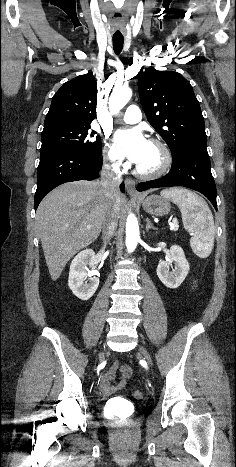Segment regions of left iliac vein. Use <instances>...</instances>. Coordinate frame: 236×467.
Listing matches in <instances>:
<instances>
[{"label":"left iliac vein","instance_id":"obj_1","mask_svg":"<svg viewBox=\"0 0 236 467\" xmlns=\"http://www.w3.org/2000/svg\"><path fill=\"white\" fill-rule=\"evenodd\" d=\"M140 353L145 357V359L147 360L148 364L151 366L152 362H151V358L148 354V352L146 351L145 348L141 347L140 348Z\"/></svg>","mask_w":236,"mask_h":467}]
</instances>
